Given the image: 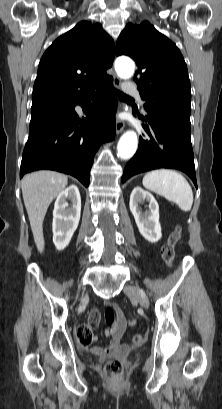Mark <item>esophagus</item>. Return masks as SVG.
<instances>
[{"label": "esophagus", "instance_id": "esophagus-1", "mask_svg": "<svg viewBox=\"0 0 222 409\" xmlns=\"http://www.w3.org/2000/svg\"><path fill=\"white\" fill-rule=\"evenodd\" d=\"M113 84L116 88H120L121 82H120V79L116 75L113 76ZM124 127H125V122L121 119L117 120L116 134L117 135L120 134L123 131Z\"/></svg>", "mask_w": 222, "mask_h": 409}]
</instances>
